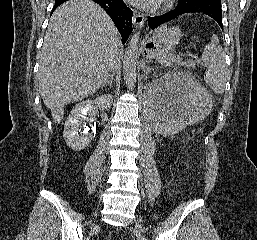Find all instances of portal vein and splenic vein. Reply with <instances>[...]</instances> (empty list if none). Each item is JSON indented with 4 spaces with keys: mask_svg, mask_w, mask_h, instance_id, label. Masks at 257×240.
Masks as SVG:
<instances>
[{
    "mask_svg": "<svg viewBox=\"0 0 257 240\" xmlns=\"http://www.w3.org/2000/svg\"><path fill=\"white\" fill-rule=\"evenodd\" d=\"M181 57L180 56H168L166 58H164V62L167 63V65H171L170 61H175L177 63L181 62ZM169 61V62H167Z\"/></svg>",
    "mask_w": 257,
    "mask_h": 240,
    "instance_id": "1",
    "label": "portal vein and splenic vein"
}]
</instances>
